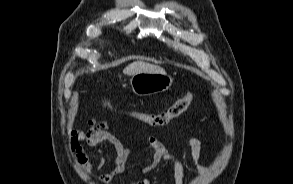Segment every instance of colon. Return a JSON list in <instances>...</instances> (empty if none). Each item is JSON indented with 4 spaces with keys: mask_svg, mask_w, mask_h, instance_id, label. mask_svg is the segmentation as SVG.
<instances>
[{
    "mask_svg": "<svg viewBox=\"0 0 293 184\" xmlns=\"http://www.w3.org/2000/svg\"><path fill=\"white\" fill-rule=\"evenodd\" d=\"M193 100V93L189 92L185 96L178 99L174 102L168 109L157 113V114H148V113H139V112H120L124 114L128 118L134 119L136 121H140L147 125L153 127H160L168 124L171 120L179 117L183 114ZM101 103L104 108L113 112L117 111L106 99H101Z\"/></svg>",
    "mask_w": 293,
    "mask_h": 184,
    "instance_id": "colon-1",
    "label": "colon"
}]
</instances>
